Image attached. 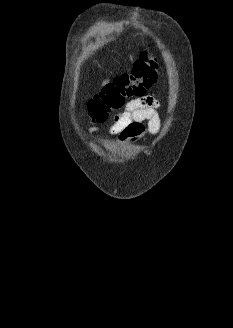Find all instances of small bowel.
I'll use <instances>...</instances> for the list:
<instances>
[{
	"label": "small bowel",
	"instance_id": "1",
	"mask_svg": "<svg viewBox=\"0 0 233 328\" xmlns=\"http://www.w3.org/2000/svg\"><path fill=\"white\" fill-rule=\"evenodd\" d=\"M159 103L152 96H142L128 102L124 110L115 116L110 134L118 142L136 143L146 133L155 135L161 127Z\"/></svg>",
	"mask_w": 233,
	"mask_h": 328
}]
</instances>
